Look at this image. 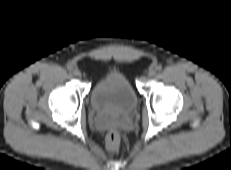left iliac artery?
I'll return each mask as SVG.
<instances>
[{
    "label": "left iliac artery",
    "instance_id": "obj_1",
    "mask_svg": "<svg viewBox=\"0 0 231 170\" xmlns=\"http://www.w3.org/2000/svg\"><path fill=\"white\" fill-rule=\"evenodd\" d=\"M156 70H158V71L162 70V66L161 65H157L156 66Z\"/></svg>",
    "mask_w": 231,
    "mask_h": 170
}]
</instances>
